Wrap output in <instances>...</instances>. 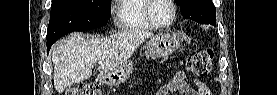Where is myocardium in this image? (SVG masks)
<instances>
[{
	"mask_svg": "<svg viewBox=\"0 0 277 95\" xmlns=\"http://www.w3.org/2000/svg\"><path fill=\"white\" fill-rule=\"evenodd\" d=\"M165 1L168 2V4H170L172 6V9H173V12H172V15H171L170 19L165 23L158 22L153 17V15L151 14V8L153 7L156 0H149V3L146 7V17H147V19L152 23L153 26H155L157 28L169 27L170 25L173 24V22L175 21L176 15H177V9H176V6L174 4V1L173 0H165Z\"/></svg>",
	"mask_w": 277,
	"mask_h": 95,
	"instance_id": "obj_1",
	"label": "myocardium"
}]
</instances>
